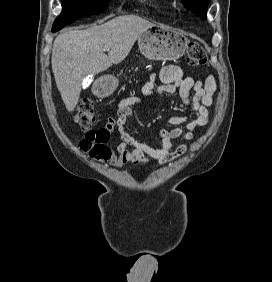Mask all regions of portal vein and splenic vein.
<instances>
[{
    "label": "portal vein and splenic vein",
    "mask_w": 272,
    "mask_h": 282,
    "mask_svg": "<svg viewBox=\"0 0 272 282\" xmlns=\"http://www.w3.org/2000/svg\"><path fill=\"white\" fill-rule=\"evenodd\" d=\"M104 51H109V46H105Z\"/></svg>",
    "instance_id": "1"
}]
</instances>
